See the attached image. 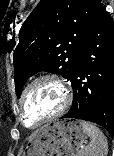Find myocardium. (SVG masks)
Listing matches in <instances>:
<instances>
[{
	"instance_id": "1",
	"label": "myocardium",
	"mask_w": 114,
	"mask_h": 156,
	"mask_svg": "<svg viewBox=\"0 0 114 156\" xmlns=\"http://www.w3.org/2000/svg\"><path fill=\"white\" fill-rule=\"evenodd\" d=\"M43 81H50V82H52V83H54L55 85L58 86V88L61 91V95H62L61 105L53 114L42 118L41 120L37 121L33 125H28L26 123L25 117H24V109H23L24 99H25L26 95L28 94V92L36 84H38L40 82H43ZM71 103H72V91H71L70 86L68 85V83L63 78H61L60 76H58L56 74H53V73H46V74H42V75H39V76L35 77L33 80H31L24 87V89L21 92V94L19 96V99H18V106H19L21 120H22V123L27 128H36V127L40 126L43 123H46L48 121H51V120H54V119L60 117L61 115H63L68 110Z\"/></svg>"
}]
</instances>
